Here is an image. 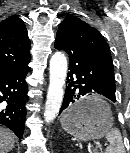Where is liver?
Segmentation results:
<instances>
[{"instance_id": "6515ba94", "label": "liver", "mask_w": 130, "mask_h": 153, "mask_svg": "<svg viewBox=\"0 0 130 153\" xmlns=\"http://www.w3.org/2000/svg\"><path fill=\"white\" fill-rule=\"evenodd\" d=\"M14 141V134L8 129L0 127V153H9L14 147Z\"/></svg>"}]
</instances>
